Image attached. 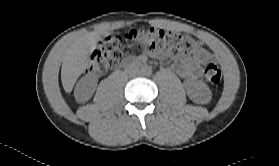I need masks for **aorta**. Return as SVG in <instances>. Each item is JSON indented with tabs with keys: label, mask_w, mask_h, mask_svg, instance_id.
<instances>
[{
	"label": "aorta",
	"mask_w": 279,
	"mask_h": 166,
	"mask_svg": "<svg viewBox=\"0 0 279 166\" xmlns=\"http://www.w3.org/2000/svg\"><path fill=\"white\" fill-rule=\"evenodd\" d=\"M151 73H152V69H151L150 66H143V67L141 68V74H142L143 76H150Z\"/></svg>",
	"instance_id": "aorta-1"
}]
</instances>
